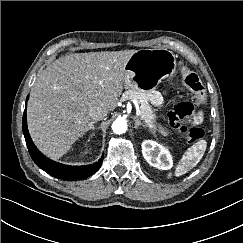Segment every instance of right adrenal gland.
I'll list each match as a JSON object with an SVG mask.
<instances>
[{
	"label": "right adrenal gland",
	"mask_w": 243,
	"mask_h": 243,
	"mask_svg": "<svg viewBox=\"0 0 243 243\" xmlns=\"http://www.w3.org/2000/svg\"><path fill=\"white\" fill-rule=\"evenodd\" d=\"M95 123H96V121H91V122L89 123V126H88L87 131H89V130H93V131H94V129H95L94 124H95ZM92 136H94V133H92V134L90 135V137H92Z\"/></svg>",
	"instance_id": "right-adrenal-gland-1"
}]
</instances>
